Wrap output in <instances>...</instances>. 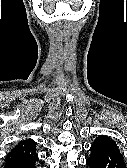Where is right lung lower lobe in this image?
<instances>
[{
	"label": "right lung lower lobe",
	"instance_id": "1",
	"mask_svg": "<svg viewBox=\"0 0 127 168\" xmlns=\"http://www.w3.org/2000/svg\"><path fill=\"white\" fill-rule=\"evenodd\" d=\"M36 157L6 159L4 168H35Z\"/></svg>",
	"mask_w": 127,
	"mask_h": 168
}]
</instances>
